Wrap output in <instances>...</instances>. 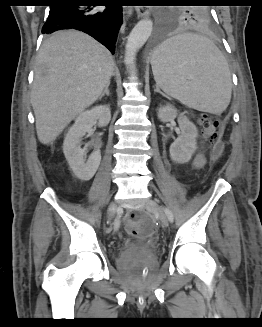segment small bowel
<instances>
[{
  "label": "small bowel",
  "mask_w": 262,
  "mask_h": 327,
  "mask_svg": "<svg viewBox=\"0 0 262 327\" xmlns=\"http://www.w3.org/2000/svg\"><path fill=\"white\" fill-rule=\"evenodd\" d=\"M205 163H206V158L205 155L202 153L197 154L193 160V166L195 168H201L205 165Z\"/></svg>",
  "instance_id": "small-bowel-1"
}]
</instances>
